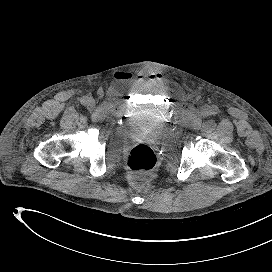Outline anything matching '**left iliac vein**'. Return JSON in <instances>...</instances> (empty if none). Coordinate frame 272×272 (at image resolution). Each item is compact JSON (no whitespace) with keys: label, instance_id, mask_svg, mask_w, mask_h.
Wrapping results in <instances>:
<instances>
[{"label":"left iliac vein","instance_id":"4c4485c4","mask_svg":"<svg viewBox=\"0 0 272 272\" xmlns=\"http://www.w3.org/2000/svg\"><path fill=\"white\" fill-rule=\"evenodd\" d=\"M209 113H210V111H209L208 108H204V109L202 110V115H203V116H207V115H209Z\"/></svg>","mask_w":272,"mask_h":272}]
</instances>
